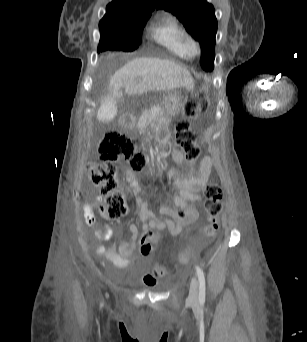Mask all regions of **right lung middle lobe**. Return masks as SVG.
Returning a JSON list of instances; mask_svg holds the SVG:
<instances>
[{
  "label": "right lung middle lobe",
  "mask_w": 307,
  "mask_h": 342,
  "mask_svg": "<svg viewBox=\"0 0 307 342\" xmlns=\"http://www.w3.org/2000/svg\"><path fill=\"white\" fill-rule=\"evenodd\" d=\"M100 33L98 52L107 50L131 52L136 50L141 42V34Z\"/></svg>",
  "instance_id": "obj_1"
}]
</instances>
